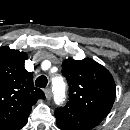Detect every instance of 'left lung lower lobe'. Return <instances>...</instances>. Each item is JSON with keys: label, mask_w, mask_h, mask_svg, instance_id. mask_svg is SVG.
<instances>
[{"label": "left lung lower lobe", "mask_w": 130, "mask_h": 130, "mask_svg": "<svg viewBox=\"0 0 130 130\" xmlns=\"http://www.w3.org/2000/svg\"><path fill=\"white\" fill-rule=\"evenodd\" d=\"M55 117L61 130H91L101 122L93 116L67 107L57 108Z\"/></svg>", "instance_id": "1"}]
</instances>
